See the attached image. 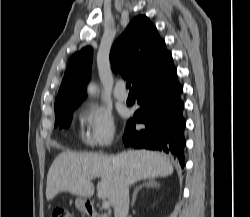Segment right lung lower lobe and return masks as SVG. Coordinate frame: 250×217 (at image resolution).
<instances>
[{
    "mask_svg": "<svg viewBox=\"0 0 250 217\" xmlns=\"http://www.w3.org/2000/svg\"><path fill=\"white\" fill-rule=\"evenodd\" d=\"M138 104L134 113L137 123L145 129L135 130L132 119L125 129L123 142L126 146L163 150L172 154L183 168L185 159L183 102L180 94L183 87L177 80V71L171 54L148 77L134 87Z\"/></svg>",
    "mask_w": 250,
    "mask_h": 217,
    "instance_id": "obj_1",
    "label": "right lung lower lobe"
}]
</instances>
